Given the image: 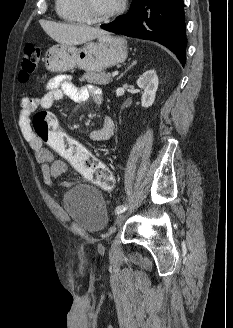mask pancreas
<instances>
[{
  "label": "pancreas",
  "instance_id": "cf45deb5",
  "mask_svg": "<svg viewBox=\"0 0 233 328\" xmlns=\"http://www.w3.org/2000/svg\"><path fill=\"white\" fill-rule=\"evenodd\" d=\"M80 81H87L88 83H93L97 85H107L112 81L111 74H103L96 72H86L81 78Z\"/></svg>",
  "mask_w": 233,
  "mask_h": 328
}]
</instances>
